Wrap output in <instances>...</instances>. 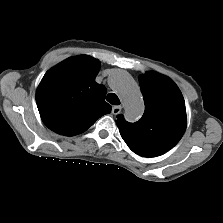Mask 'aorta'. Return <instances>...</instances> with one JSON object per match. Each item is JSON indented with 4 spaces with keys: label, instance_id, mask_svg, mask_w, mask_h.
<instances>
[{
    "label": "aorta",
    "instance_id": "aorta-1",
    "mask_svg": "<svg viewBox=\"0 0 223 223\" xmlns=\"http://www.w3.org/2000/svg\"><path fill=\"white\" fill-rule=\"evenodd\" d=\"M109 81L123 99L126 120H139L144 113L145 105L140 89L131 75L125 70L116 69L109 76Z\"/></svg>",
    "mask_w": 223,
    "mask_h": 223
}]
</instances>
